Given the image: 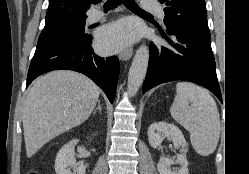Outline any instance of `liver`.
Listing matches in <instances>:
<instances>
[{
  "label": "liver",
  "mask_w": 249,
  "mask_h": 174,
  "mask_svg": "<svg viewBox=\"0 0 249 174\" xmlns=\"http://www.w3.org/2000/svg\"><path fill=\"white\" fill-rule=\"evenodd\" d=\"M100 88L88 77L57 70L39 77L22 111L27 157L56 136L85 122L93 112Z\"/></svg>",
  "instance_id": "liver-1"
}]
</instances>
